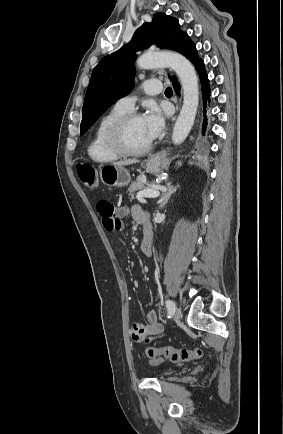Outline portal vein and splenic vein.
I'll return each instance as SVG.
<instances>
[{"instance_id":"18ae733b","label":"portal vein and splenic vein","mask_w":283,"mask_h":434,"mask_svg":"<svg viewBox=\"0 0 283 434\" xmlns=\"http://www.w3.org/2000/svg\"><path fill=\"white\" fill-rule=\"evenodd\" d=\"M160 195V192L156 189H146L137 193V200L143 201L144 198H156Z\"/></svg>"}]
</instances>
